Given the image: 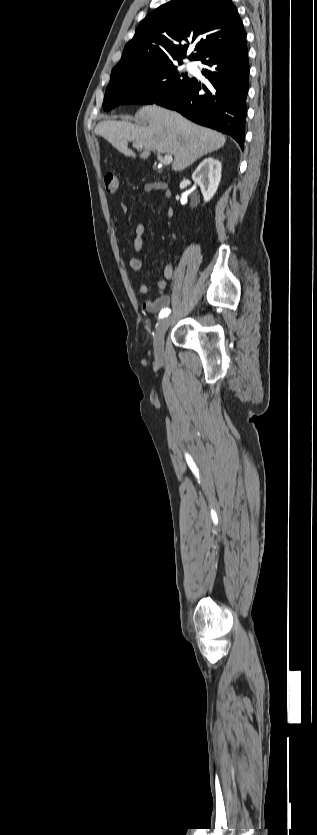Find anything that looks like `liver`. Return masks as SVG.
Instances as JSON below:
<instances>
[{"label": "liver", "mask_w": 317, "mask_h": 835, "mask_svg": "<svg viewBox=\"0 0 317 835\" xmlns=\"http://www.w3.org/2000/svg\"><path fill=\"white\" fill-rule=\"evenodd\" d=\"M136 118L147 122V125L128 120H104L97 124L94 132L125 156L136 157L127 147L129 141L140 148L142 159H147L154 150L173 155L174 171L184 170L202 156L220 149L226 142L223 134L157 105L140 108Z\"/></svg>", "instance_id": "6515ba94"}]
</instances>
